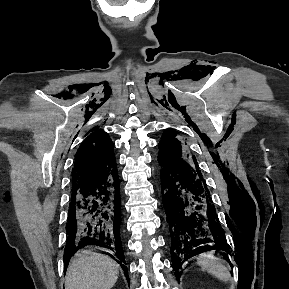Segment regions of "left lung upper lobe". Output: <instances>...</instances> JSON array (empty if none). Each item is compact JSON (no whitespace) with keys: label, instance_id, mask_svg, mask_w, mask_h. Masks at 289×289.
Wrapping results in <instances>:
<instances>
[{"label":"left lung upper lobe","instance_id":"left-lung-upper-lobe-1","mask_svg":"<svg viewBox=\"0 0 289 289\" xmlns=\"http://www.w3.org/2000/svg\"><path fill=\"white\" fill-rule=\"evenodd\" d=\"M159 152L168 153L174 157L182 158L189 162L198 173L201 174L199 171L198 163L195 159V156L190 155L184 147L181 145L177 137V132L174 129H167L159 142ZM202 175V174H201Z\"/></svg>","mask_w":289,"mask_h":289}]
</instances>
